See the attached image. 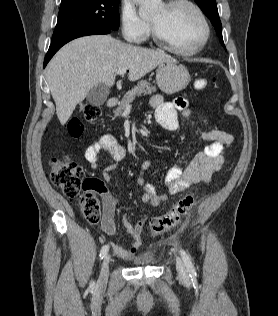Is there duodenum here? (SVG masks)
<instances>
[{
    "instance_id": "410a0bca",
    "label": "duodenum",
    "mask_w": 278,
    "mask_h": 316,
    "mask_svg": "<svg viewBox=\"0 0 278 316\" xmlns=\"http://www.w3.org/2000/svg\"><path fill=\"white\" fill-rule=\"evenodd\" d=\"M118 102V98L117 97H110L108 98L107 102H106V105L108 107H114Z\"/></svg>"
}]
</instances>
